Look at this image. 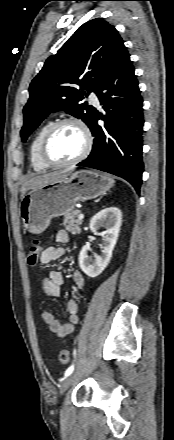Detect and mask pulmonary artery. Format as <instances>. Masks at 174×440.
Instances as JSON below:
<instances>
[{
    "label": "pulmonary artery",
    "instance_id": "pulmonary-artery-1",
    "mask_svg": "<svg viewBox=\"0 0 174 440\" xmlns=\"http://www.w3.org/2000/svg\"><path fill=\"white\" fill-rule=\"evenodd\" d=\"M89 98H90V100L93 102V104H94L95 106L100 107L99 99H98V97H97V95H96L95 93L92 92V93L90 94Z\"/></svg>",
    "mask_w": 174,
    "mask_h": 440
}]
</instances>
